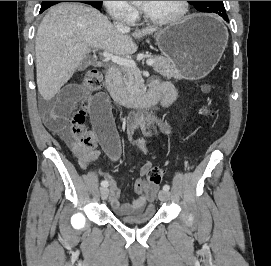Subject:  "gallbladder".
Here are the masks:
<instances>
[{"mask_svg": "<svg viewBox=\"0 0 271 266\" xmlns=\"http://www.w3.org/2000/svg\"><path fill=\"white\" fill-rule=\"evenodd\" d=\"M93 60L91 59H85L82 64L78 67L79 71L85 70L89 65H91Z\"/></svg>", "mask_w": 271, "mask_h": 266, "instance_id": "gallbladder-1", "label": "gallbladder"}]
</instances>
